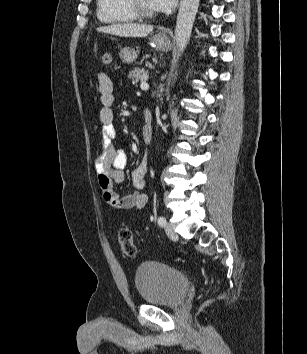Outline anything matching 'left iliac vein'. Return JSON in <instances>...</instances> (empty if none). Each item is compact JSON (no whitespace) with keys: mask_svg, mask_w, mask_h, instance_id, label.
Returning a JSON list of instances; mask_svg holds the SVG:
<instances>
[{"mask_svg":"<svg viewBox=\"0 0 307 354\" xmlns=\"http://www.w3.org/2000/svg\"><path fill=\"white\" fill-rule=\"evenodd\" d=\"M165 232L170 239L172 240L178 239V235L175 233L173 227L168 223L165 225Z\"/></svg>","mask_w":307,"mask_h":354,"instance_id":"4c4485c4","label":"left iliac vein"}]
</instances>
